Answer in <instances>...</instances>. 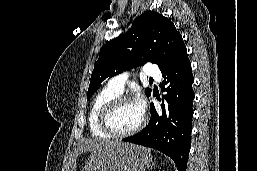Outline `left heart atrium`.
<instances>
[{"label":"left heart atrium","mask_w":257,"mask_h":171,"mask_svg":"<svg viewBox=\"0 0 257 171\" xmlns=\"http://www.w3.org/2000/svg\"><path fill=\"white\" fill-rule=\"evenodd\" d=\"M134 104L137 107V109L143 114L145 111V102L144 99L141 96H138L135 100H134Z\"/></svg>","instance_id":"obj_1"}]
</instances>
